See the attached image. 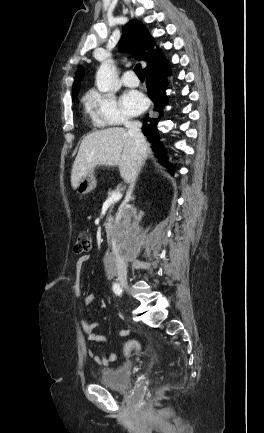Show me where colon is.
I'll return each instance as SVG.
<instances>
[{"label":"colon","mask_w":264,"mask_h":433,"mask_svg":"<svg viewBox=\"0 0 264 433\" xmlns=\"http://www.w3.org/2000/svg\"><path fill=\"white\" fill-rule=\"evenodd\" d=\"M91 239L88 234L82 232L77 235L74 244V252L77 254H86L91 249ZM140 350V344L135 340H129L124 344V354L130 355Z\"/></svg>","instance_id":"colon-1"}]
</instances>
